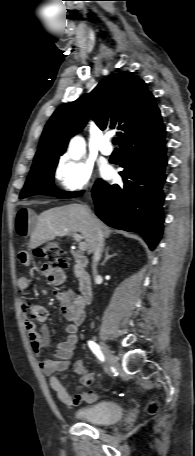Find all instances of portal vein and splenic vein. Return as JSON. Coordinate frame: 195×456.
I'll use <instances>...</instances> for the list:
<instances>
[{
  "label": "portal vein and splenic vein",
  "mask_w": 195,
  "mask_h": 456,
  "mask_svg": "<svg viewBox=\"0 0 195 456\" xmlns=\"http://www.w3.org/2000/svg\"><path fill=\"white\" fill-rule=\"evenodd\" d=\"M73 238H74L75 241H77L79 243V250L80 251H85L86 248H87V245H86L85 242L81 241L82 240V236L77 234V233H74L73 234Z\"/></svg>",
  "instance_id": "18ae733b"
}]
</instances>
